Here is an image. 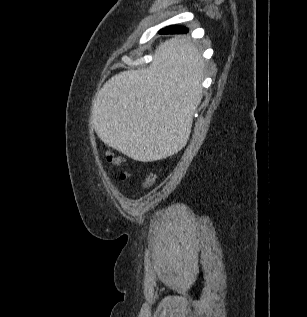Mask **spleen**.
<instances>
[{"label":"spleen","instance_id":"3e777b00","mask_svg":"<svg viewBox=\"0 0 307 317\" xmlns=\"http://www.w3.org/2000/svg\"><path fill=\"white\" fill-rule=\"evenodd\" d=\"M200 42L168 41L153 64L112 77L94 108V128L108 146L134 160L178 155L201 101Z\"/></svg>","mask_w":307,"mask_h":317}]
</instances>
